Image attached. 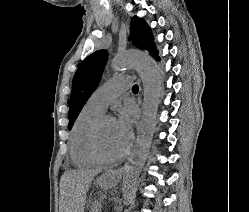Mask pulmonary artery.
I'll return each mask as SVG.
<instances>
[{
    "instance_id": "obj_1",
    "label": "pulmonary artery",
    "mask_w": 249,
    "mask_h": 212,
    "mask_svg": "<svg viewBox=\"0 0 249 212\" xmlns=\"http://www.w3.org/2000/svg\"><path fill=\"white\" fill-rule=\"evenodd\" d=\"M129 79L127 75H119L107 80L93 92L88 102L104 112L115 98L130 87Z\"/></svg>"
}]
</instances>
